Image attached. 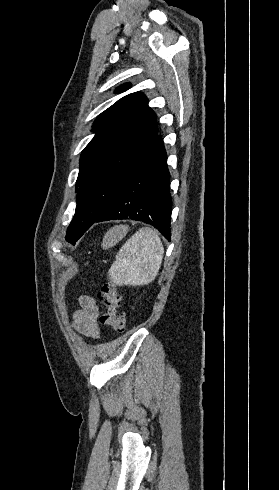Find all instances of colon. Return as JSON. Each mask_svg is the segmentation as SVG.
<instances>
[{
  "label": "colon",
  "instance_id": "obj_1",
  "mask_svg": "<svg viewBox=\"0 0 279 490\" xmlns=\"http://www.w3.org/2000/svg\"><path fill=\"white\" fill-rule=\"evenodd\" d=\"M100 298L103 308L100 316L102 324L107 325L117 332H123L126 327V319L119 312L121 298L112 282H105L100 289Z\"/></svg>",
  "mask_w": 279,
  "mask_h": 490
}]
</instances>
